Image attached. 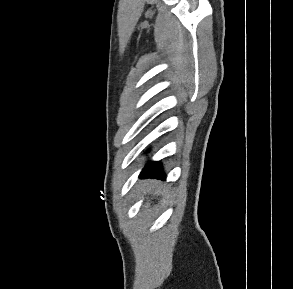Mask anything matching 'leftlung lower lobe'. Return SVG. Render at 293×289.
<instances>
[{"mask_svg":"<svg viewBox=\"0 0 293 289\" xmlns=\"http://www.w3.org/2000/svg\"><path fill=\"white\" fill-rule=\"evenodd\" d=\"M140 177H152L158 179H165L162 167L159 162H150L142 170Z\"/></svg>","mask_w":293,"mask_h":289,"instance_id":"0a47b994","label":"left lung lower lobe"}]
</instances>
